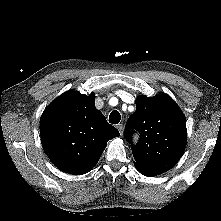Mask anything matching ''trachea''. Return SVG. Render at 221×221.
<instances>
[{
    "label": "trachea",
    "mask_w": 221,
    "mask_h": 221,
    "mask_svg": "<svg viewBox=\"0 0 221 221\" xmlns=\"http://www.w3.org/2000/svg\"><path fill=\"white\" fill-rule=\"evenodd\" d=\"M121 120V115L118 111L114 110L109 115V122L111 124H118Z\"/></svg>",
    "instance_id": "3493384b"
}]
</instances>
